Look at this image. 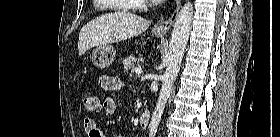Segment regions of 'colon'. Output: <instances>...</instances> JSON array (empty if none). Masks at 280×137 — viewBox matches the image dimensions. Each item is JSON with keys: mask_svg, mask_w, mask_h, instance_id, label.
<instances>
[{"mask_svg": "<svg viewBox=\"0 0 280 137\" xmlns=\"http://www.w3.org/2000/svg\"><path fill=\"white\" fill-rule=\"evenodd\" d=\"M84 109L88 112H96L98 109V99L92 95H84L81 98Z\"/></svg>", "mask_w": 280, "mask_h": 137, "instance_id": "obj_1", "label": "colon"}]
</instances>
